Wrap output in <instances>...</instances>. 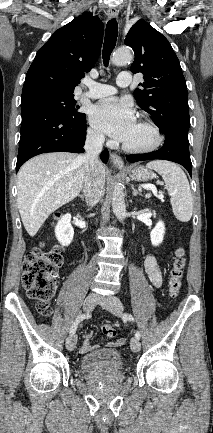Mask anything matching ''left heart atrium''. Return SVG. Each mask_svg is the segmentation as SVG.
Wrapping results in <instances>:
<instances>
[{"label":"left heart atrium","instance_id":"obj_1","mask_svg":"<svg viewBox=\"0 0 213 433\" xmlns=\"http://www.w3.org/2000/svg\"><path fill=\"white\" fill-rule=\"evenodd\" d=\"M90 121L94 127L116 140L124 142L136 124L131 105L115 98L99 102L92 110Z\"/></svg>","mask_w":213,"mask_h":433}]
</instances>
